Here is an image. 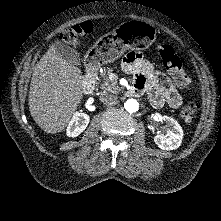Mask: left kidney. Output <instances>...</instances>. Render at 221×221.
<instances>
[{
	"label": "left kidney",
	"mask_w": 221,
	"mask_h": 221,
	"mask_svg": "<svg viewBox=\"0 0 221 221\" xmlns=\"http://www.w3.org/2000/svg\"><path fill=\"white\" fill-rule=\"evenodd\" d=\"M161 122L166 123L169 127L167 134H157L154 137L155 144L162 150H175L177 149L183 139V130L180 124L169 116H162Z\"/></svg>",
	"instance_id": "left-kidney-1"
}]
</instances>
